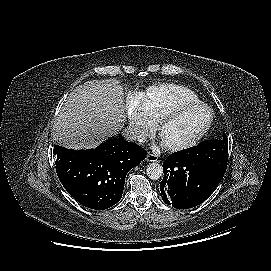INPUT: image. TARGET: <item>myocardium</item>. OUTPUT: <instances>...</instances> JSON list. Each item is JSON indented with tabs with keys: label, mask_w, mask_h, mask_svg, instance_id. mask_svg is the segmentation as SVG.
Segmentation results:
<instances>
[{
	"label": "myocardium",
	"mask_w": 271,
	"mask_h": 271,
	"mask_svg": "<svg viewBox=\"0 0 271 271\" xmlns=\"http://www.w3.org/2000/svg\"><path fill=\"white\" fill-rule=\"evenodd\" d=\"M196 107H204L208 110L209 113V118L208 121L206 122V124L202 127V129L196 134L194 135L191 139L180 143V144H175V145H166L163 143V146L165 149L171 151V152H179V151H183L186 149H189L193 146H195L197 143H199L201 141V139L207 134V132L209 131L213 120H214V112L212 110V108L204 103L199 101H195V102H188V103H183L180 105H177L169 110L164 111L163 113H161L158 118L156 119V130L158 132V134L160 135V131L164 125L165 122L169 121L170 119L174 118L175 116L180 115L181 113L196 108Z\"/></svg>",
	"instance_id": "f54148a6"
}]
</instances>
